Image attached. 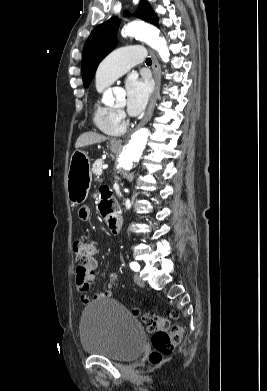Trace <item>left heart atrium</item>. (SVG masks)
Returning a JSON list of instances; mask_svg holds the SVG:
<instances>
[{
	"instance_id": "left-heart-atrium-1",
	"label": "left heart atrium",
	"mask_w": 267,
	"mask_h": 391,
	"mask_svg": "<svg viewBox=\"0 0 267 391\" xmlns=\"http://www.w3.org/2000/svg\"><path fill=\"white\" fill-rule=\"evenodd\" d=\"M126 107L131 115L140 114L148 101L150 85L148 81L131 76L126 81Z\"/></svg>"
}]
</instances>
